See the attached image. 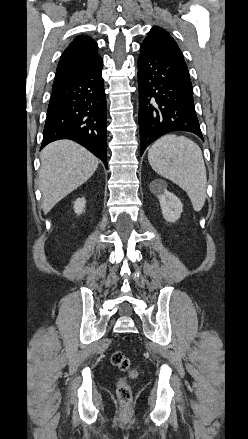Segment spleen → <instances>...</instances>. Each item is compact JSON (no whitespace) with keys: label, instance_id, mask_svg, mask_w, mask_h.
I'll list each match as a JSON object with an SVG mask.
<instances>
[{"label":"spleen","instance_id":"spleen-1","mask_svg":"<svg viewBox=\"0 0 248 439\" xmlns=\"http://www.w3.org/2000/svg\"><path fill=\"white\" fill-rule=\"evenodd\" d=\"M148 161L162 177L181 187L199 212L206 200L207 176L200 147L184 136L165 135L149 149Z\"/></svg>","mask_w":248,"mask_h":439}]
</instances>
